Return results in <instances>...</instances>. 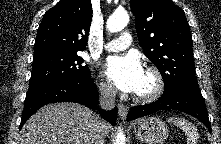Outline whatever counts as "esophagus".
<instances>
[{
	"mask_svg": "<svg viewBox=\"0 0 221 144\" xmlns=\"http://www.w3.org/2000/svg\"><path fill=\"white\" fill-rule=\"evenodd\" d=\"M118 113L121 119H125L128 113V108L122 103L118 104Z\"/></svg>",
	"mask_w": 221,
	"mask_h": 144,
	"instance_id": "esophagus-1",
	"label": "esophagus"
}]
</instances>
